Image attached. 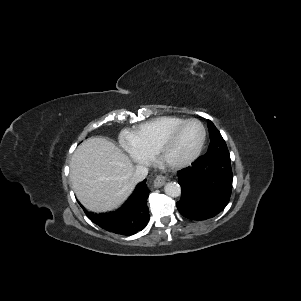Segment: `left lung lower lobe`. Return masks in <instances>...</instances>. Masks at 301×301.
<instances>
[{
    "label": "left lung lower lobe",
    "mask_w": 301,
    "mask_h": 301,
    "mask_svg": "<svg viewBox=\"0 0 301 301\" xmlns=\"http://www.w3.org/2000/svg\"><path fill=\"white\" fill-rule=\"evenodd\" d=\"M177 175L182 192L176 206L184 217L206 220L228 204L233 181L230 155L200 156Z\"/></svg>",
    "instance_id": "obj_1"
}]
</instances>
